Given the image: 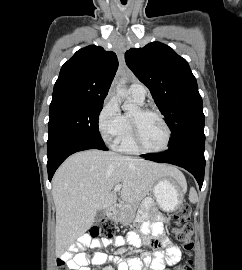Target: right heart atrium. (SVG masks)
I'll use <instances>...</instances> for the list:
<instances>
[{
    "label": "right heart atrium",
    "instance_id": "1",
    "mask_svg": "<svg viewBox=\"0 0 242 270\" xmlns=\"http://www.w3.org/2000/svg\"><path fill=\"white\" fill-rule=\"evenodd\" d=\"M97 125L103 140L115 144L123 129V115L116 98L109 94L99 112Z\"/></svg>",
    "mask_w": 242,
    "mask_h": 270
}]
</instances>
